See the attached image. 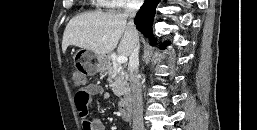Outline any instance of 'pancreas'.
<instances>
[{"label":"pancreas","mask_w":257,"mask_h":130,"mask_svg":"<svg viewBox=\"0 0 257 130\" xmlns=\"http://www.w3.org/2000/svg\"><path fill=\"white\" fill-rule=\"evenodd\" d=\"M108 81L112 87V91L118 97L127 94L128 90V74L123 70L119 63L113 62L107 67Z\"/></svg>","instance_id":"obj_1"}]
</instances>
